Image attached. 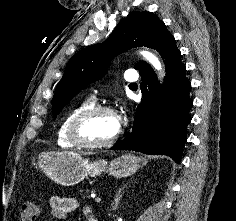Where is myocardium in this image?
Masks as SVG:
<instances>
[{"label":"myocardium","mask_w":236,"mask_h":221,"mask_svg":"<svg viewBox=\"0 0 236 221\" xmlns=\"http://www.w3.org/2000/svg\"><path fill=\"white\" fill-rule=\"evenodd\" d=\"M109 113L111 115H114L115 117L116 112L111 108L110 106L106 105H91L83 110H81L79 113H77L74 118L71 120L69 127H68V138L69 140L76 146L84 149H99V148H104L113 145L114 143L117 142L121 135V129L120 127L118 128V131L116 134L102 142H92L88 141L83 138L81 134V128L85 121L94 116L95 114L98 113Z\"/></svg>","instance_id":"1"}]
</instances>
